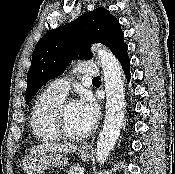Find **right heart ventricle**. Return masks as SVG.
<instances>
[{
    "mask_svg": "<svg viewBox=\"0 0 175 174\" xmlns=\"http://www.w3.org/2000/svg\"><path fill=\"white\" fill-rule=\"evenodd\" d=\"M64 99L50 89L41 92L35 99L31 114V130L40 142H56L61 137L53 126V113L57 105Z\"/></svg>",
    "mask_w": 175,
    "mask_h": 174,
    "instance_id": "e07e8e85",
    "label": "right heart ventricle"
}]
</instances>
